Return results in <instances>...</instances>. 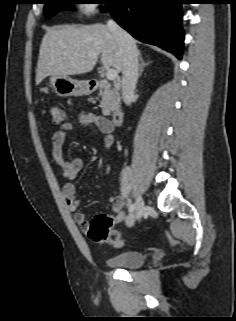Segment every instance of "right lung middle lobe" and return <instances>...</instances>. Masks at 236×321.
Instances as JSON below:
<instances>
[{
    "label": "right lung middle lobe",
    "mask_w": 236,
    "mask_h": 321,
    "mask_svg": "<svg viewBox=\"0 0 236 321\" xmlns=\"http://www.w3.org/2000/svg\"><path fill=\"white\" fill-rule=\"evenodd\" d=\"M100 4H107L110 0H99ZM73 0H45V17L50 18L61 10H74Z\"/></svg>",
    "instance_id": "1"
}]
</instances>
